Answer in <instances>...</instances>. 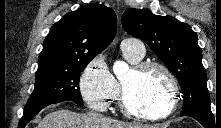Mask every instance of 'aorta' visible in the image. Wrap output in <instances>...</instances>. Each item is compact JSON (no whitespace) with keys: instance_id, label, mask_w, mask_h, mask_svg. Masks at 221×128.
I'll return each mask as SVG.
<instances>
[{"instance_id":"1","label":"aorta","mask_w":221,"mask_h":128,"mask_svg":"<svg viewBox=\"0 0 221 128\" xmlns=\"http://www.w3.org/2000/svg\"><path fill=\"white\" fill-rule=\"evenodd\" d=\"M128 70L129 66L124 61H116L113 65V72L118 78L125 75Z\"/></svg>"}]
</instances>
